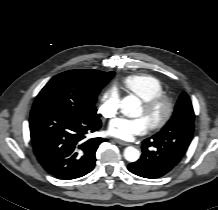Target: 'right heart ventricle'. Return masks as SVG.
Here are the masks:
<instances>
[{
  "mask_svg": "<svg viewBox=\"0 0 218 210\" xmlns=\"http://www.w3.org/2000/svg\"><path fill=\"white\" fill-rule=\"evenodd\" d=\"M118 87L136 95L141 100L164 93L160 80L149 74L126 76L120 81Z\"/></svg>",
  "mask_w": 218,
  "mask_h": 210,
  "instance_id": "right-heart-ventricle-1",
  "label": "right heart ventricle"
}]
</instances>
